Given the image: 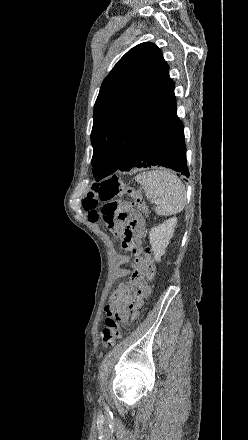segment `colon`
I'll return each instance as SVG.
<instances>
[{
    "label": "colon",
    "mask_w": 248,
    "mask_h": 440,
    "mask_svg": "<svg viewBox=\"0 0 248 440\" xmlns=\"http://www.w3.org/2000/svg\"><path fill=\"white\" fill-rule=\"evenodd\" d=\"M119 195H127L131 198V203L128 204L130 212L124 209L123 203L116 200ZM82 206L91 221L101 219L111 229L116 225L126 226L129 219L143 221L147 215L141 192L125 185L117 176L94 183L83 198ZM142 269L146 278L151 281L155 275V268L149 247L144 249ZM118 319L117 313L107 311L100 334L105 347L117 343L122 338L123 328H128L126 324L121 326ZM133 324L134 322L131 326Z\"/></svg>",
    "instance_id": "5ec220e1"
}]
</instances>
